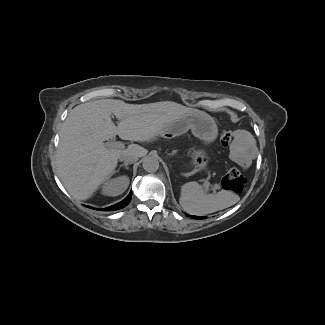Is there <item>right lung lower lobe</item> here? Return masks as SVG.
Masks as SVG:
<instances>
[{"label": "right lung lower lobe", "instance_id": "98d812e1", "mask_svg": "<svg viewBox=\"0 0 325 325\" xmlns=\"http://www.w3.org/2000/svg\"><path fill=\"white\" fill-rule=\"evenodd\" d=\"M131 197H132V192L129 193V195L124 199L122 200L121 202L117 203V204H114L110 207H107V208H104V209H98V210H101V211H109V210H118V209H121L125 206H127L129 204V202L131 201Z\"/></svg>", "mask_w": 325, "mask_h": 325}]
</instances>
